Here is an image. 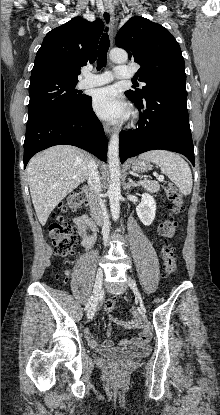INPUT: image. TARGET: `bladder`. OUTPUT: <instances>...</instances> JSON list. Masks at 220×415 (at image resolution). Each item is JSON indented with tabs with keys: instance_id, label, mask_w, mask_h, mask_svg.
<instances>
[{
	"instance_id": "bladder-1",
	"label": "bladder",
	"mask_w": 220,
	"mask_h": 415,
	"mask_svg": "<svg viewBox=\"0 0 220 415\" xmlns=\"http://www.w3.org/2000/svg\"><path fill=\"white\" fill-rule=\"evenodd\" d=\"M150 351L148 345H140L129 348H114L106 351H101L100 355L106 359L115 362H126L146 356Z\"/></svg>"
}]
</instances>
